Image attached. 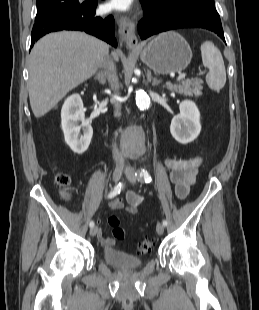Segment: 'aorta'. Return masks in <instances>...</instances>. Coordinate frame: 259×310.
I'll return each mask as SVG.
<instances>
[{
	"mask_svg": "<svg viewBox=\"0 0 259 310\" xmlns=\"http://www.w3.org/2000/svg\"><path fill=\"white\" fill-rule=\"evenodd\" d=\"M150 97L143 90L136 91V105L140 110L150 107ZM122 142L126 150L134 157L142 155L145 151V134L139 127H130L123 136Z\"/></svg>",
	"mask_w": 259,
	"mask_h": 310,
	"instance_id": "obj_1",
	"label": "aorta"
}]
</instances>
